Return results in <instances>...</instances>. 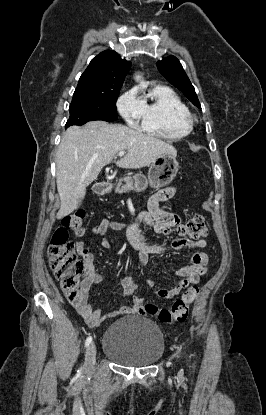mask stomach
I'll list each match as a JSON object with an SVG mask.
<instances>
[{
  "mask_svg": "<svg viewBox=\"0 0 266 415\" xmlns=\"http://www.w3.org/2000/svg\"><path fill=\"white\" fill-rule=\"evenodd\" d=\"M178 171L176 157L166 153L155 159L148 171V178L142 174L134 176V189L136 191L145 190L148 185L159 188L172 182Z\"/></svg>",
  "mask_w": 266,
  "mask_h": 415,
  "instance_id": "1",
  "label": "stomach"
}]
</instances>
